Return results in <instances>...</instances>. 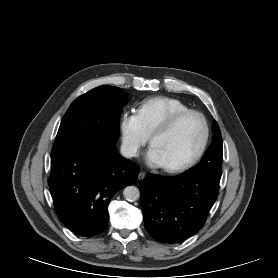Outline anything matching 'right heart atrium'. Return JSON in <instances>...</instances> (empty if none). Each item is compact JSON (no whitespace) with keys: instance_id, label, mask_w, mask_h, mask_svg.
<instances>
[{"instance_id":"d8ad5b80","label":"right heart atrium","mask_w":278,"mask_h":278,"mask_svg":"<svg viewBox=\"0 0 278 278\" xmlns=\"http://www.w3.org/2000/svg\"><path fill=\"white\" fill-rule=\"evenodd\" d=\"M119 131L122 149L129 157L137 156L150 137L138 113L134 111H124L121 113Z\"/></svg>"}]
</instances>
